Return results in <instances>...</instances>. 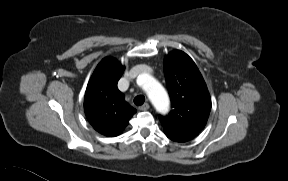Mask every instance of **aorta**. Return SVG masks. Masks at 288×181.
Listing matches in <instances>:
<instances>
[{
  "mask_svg": "<svg viewBox=\"0 0 288 181\" xmlns=\"http://www.w3.org/2000/svg\"><path fill=\"white\" fill-rule=\"evenodd\" d=\"M143 81V88L148 94L152 103L161 108L168 103V96L165 89L150 75L143 74L140 76Z\"/></svg>",
  "mask_w": 288,
  "mask_h": 181,
  "instance_id": "1",
  "label": "aorta"
}]
</instances>
